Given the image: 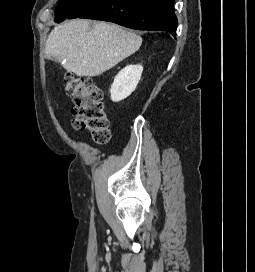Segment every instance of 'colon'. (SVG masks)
<instances>
[{
    "label": "colon",
    "instance_id": "5ec220e1",
    "mask_svg": "<svg viewBox=\"0 0 255 272\" xmlns=\"http://www.w3.org/2000/svg\"><path fill=\"white\" fill-rule=\"evenodd\" d=\"M65 93L72 97V126L88 131L97 143L110 139L109 117L103 103V94L91 79L66 72L63 75Z\"/></svg>",
    "mask_w": 255,
    "mask_h": 272
}]
</instances>
